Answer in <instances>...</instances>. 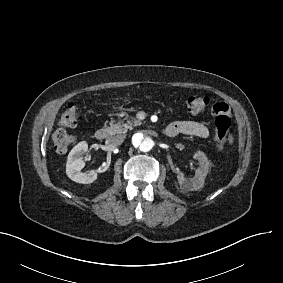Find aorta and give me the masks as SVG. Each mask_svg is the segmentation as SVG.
Returning <instances> with one entry per match:
<instances>
[{"label":"aorta","mask_w":283,"mask_h":283,"mask_svg":"<svg viewBox=\"0 0 283 283\" xmlns=\"http://www.w3.org/2000/svg\"><path fill=\"white\" fill-rule=\"evenodd\" d=\"M154 145L153 139L144 131L135 133L130 143L131 150L139 153L150 152Z\"/></svg>","instance_id":"762f6f07"}]
</instances>
